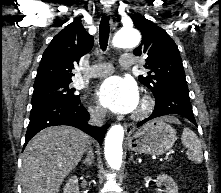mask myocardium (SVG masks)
Listing matches in <instances>:
<instances>
[{
	"instance_id": "1",
	"label": "myocardium",
	"mask_w": 221,
	"mask_h": 193,
	"mask_svg": "<svg viewBox=\"0 0 221 193\" xmlns=\"http://www.w3.org/2000/svg\"><path fill=\"white\" fill-rule=\"evenodd\" d=\"M153 107V101L149 97H143L137 110L134 113L135 119H142L147 116Z\"/></svg>"
}]
</instances>
